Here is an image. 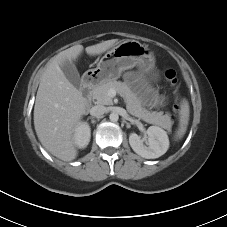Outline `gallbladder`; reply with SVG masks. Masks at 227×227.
Returning a JSON list of instances; mask_svg holds the SVG:
<instances>
[{
    "instance_id": "obj_1",
    "label": "gallbladder",
    "mask_w": 227,
    "mask_h": 227,
    "mask_svg": "<svg viewBox=\"0 0 227 227\" xmlns=\"http://www.w3.org/2000/svg\"><path fill=\"white\" fill-rule=\"evenodd\" d=\"M60 67L69 82L76 88H80L81 80L76 66L71 61L66 60Z\"/></svg>"
}]
</instances>
